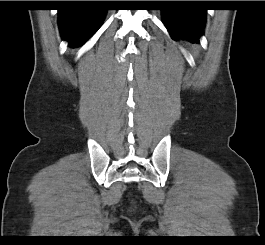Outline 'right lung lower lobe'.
Masks as SVG:
<instances>
[{"mask_svg":"<svg viewBox=\"0 0 265 245\" xmlns=\"http://www.w3.org/2000/svg\"><path fill=\"white\" fill-rule=\"evenodd\" d=\"M106 9L96 1H82L80 7L59 10L61 36L71 46L87 41L100 27Z\"/></svg>","mask_w":265,"mask_h":245,"instance_id":"1","label":"right lung lower lobe"}]
</instances>
